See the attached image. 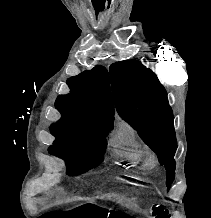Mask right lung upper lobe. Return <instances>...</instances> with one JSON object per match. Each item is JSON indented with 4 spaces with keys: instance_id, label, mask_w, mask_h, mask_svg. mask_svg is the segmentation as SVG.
Listing matches in <instances>:
<instances>
[{
    "instance_id": "right-lung-upper-lobe-1",
    "label": "right lung upper lobe",
    "mask_w": 211,
    "mask_h": 218,
    "mask_svg": "<svg viewBox=\"0 0 211 218\" xmlns=\"http://www.w3.org/2000/svg\"><path fill=\"white\" fill-rule=\"evenodd\" d=\"M67 84L70 93L59 96L55 102L62 115L59 121L79 126H100L108 132L113 126L114 108L105 67L97 65L69 78Z\"/></svg>"
}]
</instances>
